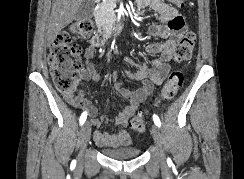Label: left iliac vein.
<instances>
[{"label":"left iliac vein","mask_w":244,"mask_h":179,"mask_svg":"<svg viewBox=\"0 0 244 179\" xmlns=\"http://www.w3.org/2000/svg\"><path fill=\"white\" fill-rule=\"evenodd\" d=\"M152 136H153L154 142L156 143V145L159 149L160 160L163 161L165 158L164 149H163V136L161 134L160 129L156 125L152 126Z\"/></svg>","instance_id":"1"}]
</instances>
